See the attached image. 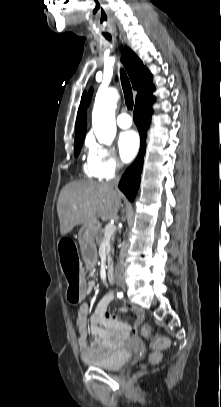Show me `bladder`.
<instances>
[{"mask_svg": "<svg viewBox=\"0 0 221 407\" xmlns=\"http://www.w3.org/2000/svg\"><path fill=\"white\" fill-rule=\"evenodd\" d=\"M133 347L119 348L100 358L85 360L86 364L104 370H118L123 367L134 353L143 351V344L138 339L131 340Z\"/></svg>", "mask_w": 221, "mask_h": 407, "instance_id": "1", "label": "bladder"}]
</instances>
